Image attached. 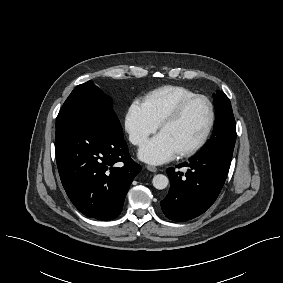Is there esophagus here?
<instances>
[{
    "label": "esophagus",
    "mask_w": 283,
    "mask_h": 283,
    "mask_svg": "<svg viewBox=\"0 0 283 283\" xmlns=\"http://www.w3.org/2000/svg\"><path fill=\"white\" fill-rule=\"evenodd\" d=\"M147 170L151 171V172H156L157 171V168L155 166H151V165H148L146 166Z\"/></svg>",
    "instance_id": "1"
}]
</instances>
